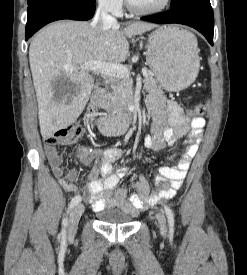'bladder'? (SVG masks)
Wrapping results in <instances>:
<instances>
[{
	"instance_id": "obj_1",
	"label": "bladder",
	"mask_w": 247,
	"mask_h": 275,
	"mask_svg": "<svg viewBox=\"0 0 247 275\" xmlns=\"http://www.w3.org/2000/svg\"><path fill=\"white\" fill-rule=\"evenodd\" d=\"M98 220L104 224L125 225L134 221V214L118 208H103L96 211Z\"/></svg>"
}]
</instances>
